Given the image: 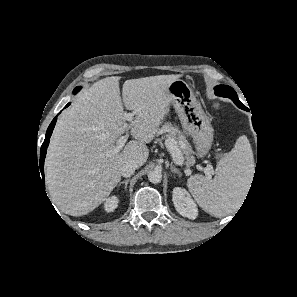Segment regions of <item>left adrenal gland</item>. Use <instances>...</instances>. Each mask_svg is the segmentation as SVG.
<instances>
[{
	"mask_svg": "<svg viewBox=\"0 0 297 297\" xmlns=\"http://www.w3.org/2000/svg\"><path fill=\"white\" fill-rule=\"evenodd\" d=\"M170 169H171V172L173 173H177V174L180 173V171L173 165V163L170 164Z\"/></svg>",
	"mask_w": 297,
	"mask_h": 297,
	"instance_id": "left-adrenal-gland-1",
	"label": "left adrenal gland"
}]
</instances>
